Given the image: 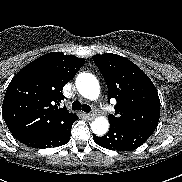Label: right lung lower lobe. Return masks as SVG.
<instances>
[{"mask_svg": "<svg viewBox=\"0 0 182 182\" xmlns=\"http://www.w3.org/2000/svg\"><path fill=\"white\" fill-rule=\"evenodd\" d=\"M77 119L69 121L42 134L26 138L21 142L33 148H51L64 145L69 141L71 127Z\"/></svg>", "mask_w": 182, "mask_h": 182, "instance_id": "1", "label": "right lung lower lobe"}]
</instances>
